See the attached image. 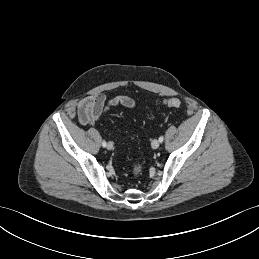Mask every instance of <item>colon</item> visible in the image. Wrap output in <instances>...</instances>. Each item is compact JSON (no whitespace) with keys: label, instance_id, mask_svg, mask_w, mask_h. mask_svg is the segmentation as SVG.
I'll return each instance as SVG.
<instances>
[{"label":"colon","instance_id":"colon-1","mask_svg":"<svg viewBox=\"0 0 259 259\" xmlns=\"http://www.w3.org/2000/svg\"><path fill=\"white\" fill-rule=\"evenodd\" d=\"M164 105L170 108H180L182 103L177 98H168L164 101ZM143 171V167L141 164H135L132 168L133 176H139Z\"/></svg>","mask_w":259,"mask_h":259}]
</instances>
